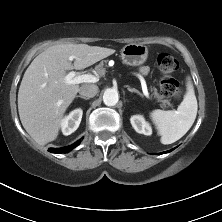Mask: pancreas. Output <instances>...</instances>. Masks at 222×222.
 Masks as SVG:
<instances>
[{
    "instance_id": "obj_1",
    "label": "pancreas",
    "mask_w": 222,
    "mask_h": 222,
    "mask_svg": "<svg viewBox=\"0 0 222 222\" xmlns=\"http://www.w3.org/2000/svg\"><path fill=\"white\" fill-rule=\"evenodd\" d=\"M95 71H96V74L98 76H104L105 73H106V68H105V64L104 62H100L96 67H95ZM151 91H153L152 95L157 98L158 102H160V106L163 108V107H166L167 105L170 106V101L167 100V99H164V96L163 95H160L158 93V90L155 88V87H151Z\"/></svg>"
}]
</instances>
